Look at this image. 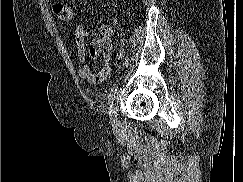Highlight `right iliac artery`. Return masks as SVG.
Instances as JSON below:
<instances>
[{
    "instance_id": "82829eb1",
    "label": "right iliac artery",
    "mask_w": 243,
    "mask_h": 182,
    "mask_svg": "<svg viewBox=\"0 0 243 182\" xmlns=\"http://www.w3.org/2000/svg\"><path fill=\"white\" fill-rule=\"evenodd\" d=\"M118 82H119V80H116V82H114V84H113V86H112V88H111V90H110V94H109V96H108V100H109V108H111V106H112V104H113V101H114V98H115V93H116V91H117V89H118ZM111 110L109 109V113H110V115H111Z\"/></svg>"
}]
</instances>
